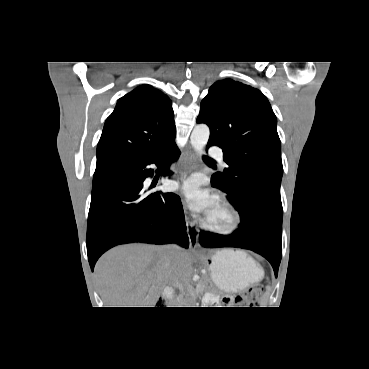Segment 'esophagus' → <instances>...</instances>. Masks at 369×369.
<instances>
[{
  "label": "esophagus",
  "instance_id": "obj_1",
  "mask_svg": "<svg viewBox=\"0 0 369 369\" xmlns=\"http://www.w3.org/2000/svg\"><path fill=\"white\" fill-rule=\"evenodd\" d=\"M196 161V154L195 152L189 147L185 153L183 154V164L187 169L193 168ZM187 176V171L181 173V181H183ZM185 219H186V227H187V234L189 238V247L191 250H195L198 247V232L197 229L194 227L190 219L188 218V211L184 207Z\"/></svg>",
  "mask_w": 369,
  "mask_h": 369
}]
</instances>
